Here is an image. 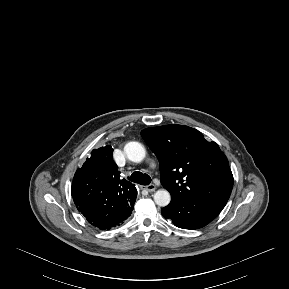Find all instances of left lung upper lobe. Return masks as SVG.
<instances>
[{
	"instance_id": "left-lung-upper-lobe-1",
	"label": "left lung upper lobe",
	"mask_w": 289,
	"mask_h": 289,
	"mask_svg": "<svg viewBox=\"0 0 289 289\" xmlns=\"http://www.w3.org/2000/svg\"><path fill=\"white\" fill-rule=\"evenodd\" d=\"M141 135L159 160L161 184L171 197L190 198L218 211L224 208L233 175L217 143L184 125L146 128Z\"/></svg>"
}]
</instances>
